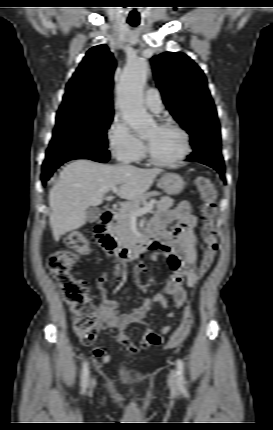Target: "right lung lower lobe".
<instances>
[{
    "label": "right lung lower lobe",
    "instance_id": "98d812e1",
    "mask_svg": "<svg viewBox=\"0 0 273 430\" xmlns=\"http://www.w3.org/2000/svg\"><path fill=\"white\" fill-rule=\"evenodd\" d=\"M110 158L109 153H105V154H94V155H86V156H81V157H77V158H73V159H90L93 161H97V162H106L108 161ZM73 159H67V160H63L60 162H57L53 165L50 166H45L42 169V182L43 184L46 183V181L51 177V175L53 174V172L63 163L69 161V160H73Z\"/></svg>",
    "mask_w": 273,
    "mask_h": 430
}]
</instances>
